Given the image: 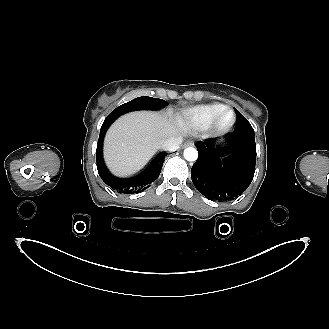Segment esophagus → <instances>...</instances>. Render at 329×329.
<instances>
[{"label": "esophagus", "instance_id": "obj_1", "mask_svg": "<svg viewBox=\"0 0 329 329\" xmlns=\"http://www.w3.org/2000/svg\"><path fill=\"white\" fill-rule=\"evenodd\" d=\"M194 145V142L193 141H187L185 142L182 147L185 148V147H188V146H193Z\"/></svg>", "mask_w": 329, "mask_h": 329}]
</instances>
